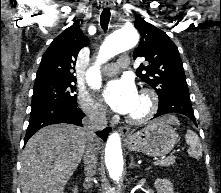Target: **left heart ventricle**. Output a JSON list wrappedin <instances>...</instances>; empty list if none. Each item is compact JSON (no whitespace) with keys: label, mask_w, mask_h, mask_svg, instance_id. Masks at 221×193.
Instances as JSON below:
<instances>
[{"label":"left heart ventricle","mask_w":221,"mask_h":193,"mask_svg":"<svg viewBox=\"0 0 221 193\" xmlns=\"http://www.w3.org/2000/svg\"><path fill=\"white\" fill-rule=\"evenodd\" d=\"M146 106H147L146 101L139 96L138 101L132 112L129 114V116H138L142 114L145 111Z\"/></svg>","instance_id":"left-heart-ventricle-1"}]
</instances>
